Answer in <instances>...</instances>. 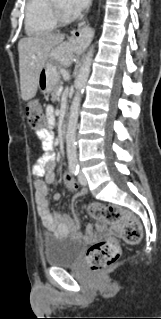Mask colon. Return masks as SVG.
Segmentation results:
<instances>
[{"mask_svg":"<svg viewBox=\"0 0 161 319\" xmlns=\"http://www.w3.org/2000/svg\"><path fill=\"white\" fill-rule=\"evenodd\" d=\"M26 116L31 127L42 132L45 128V119L40 104L31 102L26 106ZM52 144L46 143V149H52ZM88 214L96 220H106L120 226L125 243H138L142 238V231L138 219L125 213L117 205L89 204L86 206ZM121 256V249L114 238L92 244L86 251L85 259L93 273H101L116 265Z\"/></svg>","mask_w":161,"mask_h":319,"instance_id":"obj_1","label":"colon"}]
</instances>
